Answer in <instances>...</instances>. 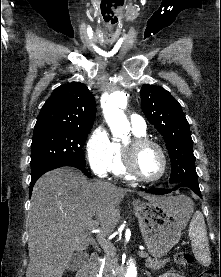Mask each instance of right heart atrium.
I'll return each instance as SVG.
<instances>
[{"label":"right heart atrium","mask_w":221,"mask_h":277,"mask_svg":"<svg viewBox=\"0 0 221 277\" xmlns=\"http://www.w3.org/2000/svg\"><path fill=\"white\" fill-rule=\"evenodd\" d=\"M85 152L91 170L97 176H105L113 158V141L103 126H98L92 131Z\"/></svg>","instance_id":"obj_1"}]
</instances>
